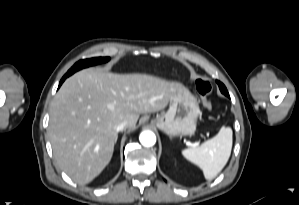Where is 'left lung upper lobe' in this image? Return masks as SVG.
Here are the masks:
<instances>
[{"instance_id":"left-lung-upper-lobe-1","label":"left lung upper lobe","mask_w":299,"mask_h":205,"mask_svg":"<svg viewBox=\"0 0 299 205\" xmlns=\"http://www.w3.org/2000/svg\"><path fill=\"white\" fill-rule=\"evenodd\" d=\"M219 88L223 94H228L226 87L219 81H217Z\"/></svg>"}]
</instances>
